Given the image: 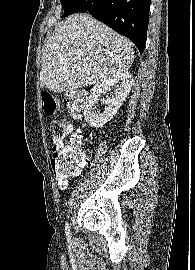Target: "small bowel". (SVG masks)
<instances>
[{
    "mask_svg": "<svg viewBox=\"0 0 195 270\" xmlns=\"http://www.w3.org/2000/svg\"><path fill=\"white\" fill-rule=\"evenodd\" d=\"M73 130H74V126L72 124H68L67 134L71 133ZM76 135L78 137H82L83 133L80 130H76ZM62 143H63V138H57V137H55L53 139V149L56 148V147H58V146H60V145H62Z\"/></svg>",
    "mask_w": 195,
    "mask_h": 270,
    "instance_id": "c3829d8e",
    "label": "small bowel"
}]
</instances>
